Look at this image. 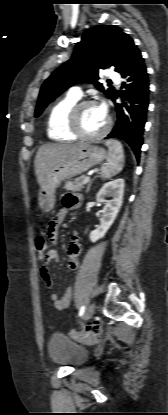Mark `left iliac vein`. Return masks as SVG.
I'll return each mask as SVG.
<instances>
[{
  "label": "left iliac vein",
  "mask_w": 168,
  "mask_h": 415,
  "mask_svg": "<svg viewBox=\"0 0 168 415\" xmlns=\"http://www.w3.org/2000/svg\"><path fill=\"white\" fill-rule=\"evenodd\" d=\"M94 312H95V304L92 303L87 307L85 311L84 320L88 321L94 315Z\"/></svg>",
  "instance_id": "left-iliac-vein-1"
}]
</instances>
